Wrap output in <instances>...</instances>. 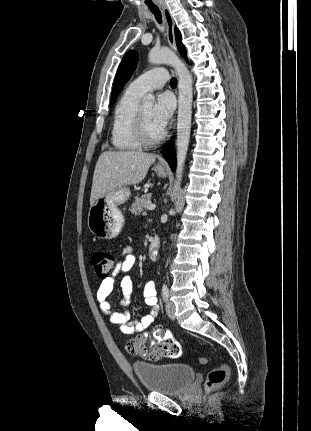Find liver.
Returning a JSON list of instances; mask_svg holds the SVG:
<instances>
[{"instance_id": "obj_1", "label": "liver", "mask_w": 311, "mask_h": 431, "mask_svg": "<svg viewBox=\"0 0 311 431\" xmlns=\"http://www.w3.org/2000/svg\"><path fill=\"white\" fill-rule=\"evenodd\" d=\"M156 154L145 152H103L95 166L90 206L107 192H113L121 186L140 184L147 176V172L154 164Z\"/></svg>"}]
</instances>
